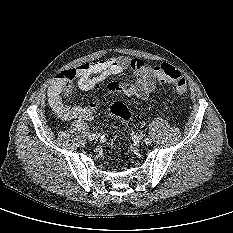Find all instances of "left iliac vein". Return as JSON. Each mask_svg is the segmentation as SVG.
<instances>
[{
    "label": "left iliac vein",
    "instance_id": "4c4485c4",
    "mask_svg": "<svg viewBox=\"0 0 233 233\" xmlns=\"http://www.w3.org/2000/svg\"><path fill=\"white\" fill-rule=\"evenodd\" d=\"M136 140L137 141H142L143 140V134L139 133L136 135Z\"/></svg>",
    "mask_w": 233,
    "mask_h": 233
}]
</instances>
